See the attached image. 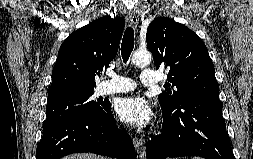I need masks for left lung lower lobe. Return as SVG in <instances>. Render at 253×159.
Returning a JSON list of instances; mask_svg holds the SVG:
<instances>
[{"label":"left lung lower lobe","instance_id":"left-lung-lower-lobe-1","mask_svg":"<svg viewBox=\"0 0 253 159\" xmlns=\"http://www.w3.org/2000/svg\"><path fill=\"white\" fill-rule=\"evenodd\" d=\"M163 130L146 145L147 159L199 156L235 159L220 103L193 101L172 114L162 111Z\"/></svg>","mask_w":253,"mask_h":159}]
</instances>
